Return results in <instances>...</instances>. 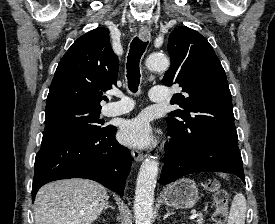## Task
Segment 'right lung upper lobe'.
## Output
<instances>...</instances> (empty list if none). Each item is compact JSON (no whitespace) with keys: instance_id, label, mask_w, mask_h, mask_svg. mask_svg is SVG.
<instances>
[{"instance_id":"cb5924a9","label":"right lung upper lobe","mask_w":275,"mask_h":224,"mask_svg":"<svg viewBox=\"0 0 275 224\" xmlns=\"http://www.w3.org/2000/svg\"><path fill=\"white\" fill-rule=\"evenodd\" d=\"M118 67L109 31L98 27L79 37L57 66L46 113L69 106L101 108L102 91L116 85Z\"/></svg>"}]
</instances>
